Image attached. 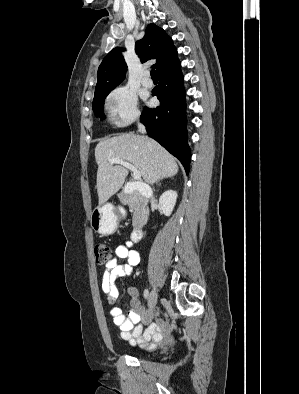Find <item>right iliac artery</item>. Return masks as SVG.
<instances>
[{
	"label": "right iliac artery",
	"instance_id": "1",
	"mask_svg": "<svg viewBox=\"0 0 299 394\" xmlns=\"http://www.w3.org/2000/svg\"><path fill=\"white\" fill-rule=\"evenodd\" d=\"M148 296H149V291H148V289H145L144 290V298L147 299Z\"/></svg>",
	"mask_w": 299,
	"mask_h": 394
}]
</instances>
